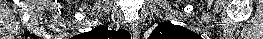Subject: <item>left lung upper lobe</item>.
Listing matches in <instances>:
<instances>
[{
	"mask_svg": "<svg viewBox=\"0 0 263 39\" xmlns=\"http://www.w3.org/2000/svg\"><path fill=\"white\" fill-rule=\"evenodd\" d=\"M148 39H202L198 34L171 22H162L153 30Z\"/></svg>",
	"mask_w": 263,
	"mask_h": 39,
	"instance_id": "1",
	"label": "left lung upper lobe"
}]
</instances>
